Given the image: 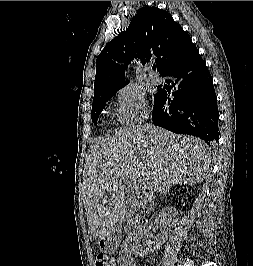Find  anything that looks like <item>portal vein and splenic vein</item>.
<instances>
[{
	"label": "portal vein and splenic vein",
	"instance_id": "1",
	"mask_svg": "<svg viewBox=\"0 0 253 266\" xmlns=\"http://www.w3.org/2000/svg\"><path fill=\"white\" fill-rule=\"evenodd\" d=\"M123 180L125 181V180H127V178H124ZM129 186L136 190L139 186V183L136 179H132Z\"/></svg>",
	"mask_w": 253,
	"mask_h": 266
}]
</instances>
